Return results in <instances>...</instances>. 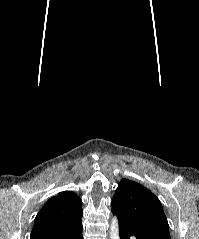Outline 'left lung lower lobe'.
Listing matches in <instances>:
<instances>
[{
    "label": "left lung lower lobe",
    "instance_id": "0a47b994",
    "mask_svg": "<svg viewBox=\"0 0 199 239\" xmlns=\"http://www.w3.org/2000/svg\"><path fill=\"white\" fill-rule=\"evenodd\" d=\"M118 229L120 239H129L131 236L136 237V239H147L146 237L140 235L134 228L129 224L118 219Z\"/></svg>",
    "mask_w": 199,
    "mask_h": 239
}]
</instances>
